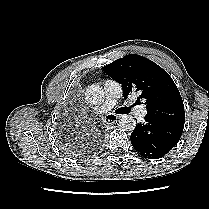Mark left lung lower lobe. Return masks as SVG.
Segmentation results:
<instances>
[{"label": "left lung lower lobe", "instance_id": "left-lung-lower-lobe-1", "mask_svg": "<svg viewBox=\"0 0 209 209\" xmlns=\"http://www.w3.org/2000/svg\"><path fill=\"white\" fill-rule=\"evenodd\" d=\"M184 127L162 123L145 116L131 134L134 149L144 158L158 159L166 155L179 141Z\"/></svg>", "mask_w": 209, "mask_h": 209}]
</instances>
